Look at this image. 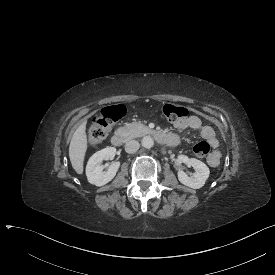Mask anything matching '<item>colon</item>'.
Instances as JSON below:
<instances>
[{
    "label": "colon",
    "instance_id": "5ec220e1",
    "mask_svg": "<svg viewBox=\"0 0 275 275\" xmlns=\"http://www.w3.org/2000/svg\"><path fill=\"white\" fill-rule=\"evenodd\" d=\"M125 113L122 104H110L105 106L97 113L89 125L88 139L92 146L101 144L110 127L122 119ZM163 118L168 122L184 119L188 116V109L183 106L165 103L162 107ZM211 146L206 140L197 142L194 147V153L198 157H205L210 152Z\"/></svg>",
    "mask_w": 275,
    "mask_h": 275
}]
</instances>
